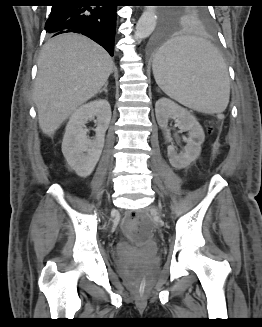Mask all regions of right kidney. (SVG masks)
I'll use <instances>...</instances> for the list:
<instances>
[{
  "mask_svg": "<svg viewBox=\"0 0 262 327\" xmlns=\"http://www.w3.org/2000/svg\"><path fill=\"white\" fill-rule=\"evenodd\" d=\"M94 117L97 118L96 135L90 140L86 136L85 124ZM110 120L111 107L105 99L91 101L72 113L63 137L62 153L79 176H89L99 161Z\"/></svg>",
  "mask_w": 262,
  "mask_h": 327,
  "instance_id": "ca27d5eb",
  "label": "right kidney"
}]
</instances>
